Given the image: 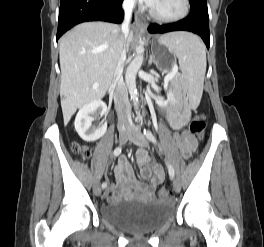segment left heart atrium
<instances>
[{"mask_svg":"<svg viewBox=\"0 0 264 247\" xmlns=\"http://www.w3.org/2000/svg\"><path fill=\"white\" fill-rule=\"evenodd\" d=\"M142 1H144L146 4H148L151 7H154L158 2V0H142Z\"/></svg>","mask_w":264,"mask_h":247,"instance_id":"39dd6f15","label":"left heart atrium"}]
</instances>
